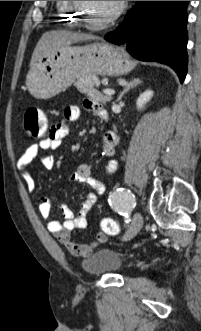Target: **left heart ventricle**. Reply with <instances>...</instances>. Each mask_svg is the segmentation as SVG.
<instances>
[{
  "mask_svg": "<svg viewBox=\"0 0 201 331\" xmlns=\"http://www.w3.org/2000/svg\"><path fill=\"white\" fill-rule=\"evenodd\" d=\"M84 16L90 22H100L112 14L118 6L119 1H82Z\"/></svg>",
  "mask_w": 201,
  "mask_h": 331,
  "instance_id": "left-heart-ventricle-1",
  "label": "left heart ventricle"
}]
</instances>
